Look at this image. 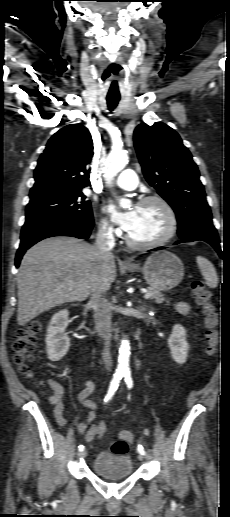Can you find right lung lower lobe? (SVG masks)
Segmentation results:
<instances>
[{
    "label": "right lung lower lobe",
    "instance_id": "1",
    "mask_svg": "<svg viewBox=\"0 0 230 517\" xmlns=\"http://www.w3.org/2000/svg\"><path fill=\"white\" fill-rule=\"evenodd\" d=\"M93 219L66 218L47 216L26 220L21 231V243L18 248L15 265L19 266L20 260L26 250L42 239L53 236H73L87 239L93 228Z\"/></svg>",
    "mask_w": 230,
    "mask_h": 517
}]
</instances>
